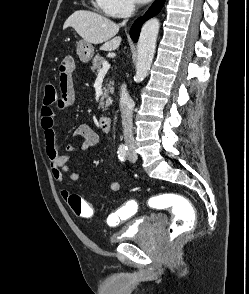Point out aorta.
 Instances as JSON below:
<instances>
[{"label": "aorta", "instance_id": "aorta-1", "mask_svg": "<svg viewBox=\"0 0 249 294\" xmlns=\"http://www.w3.org/2000/svg\"><path fill=\"white\" fill-rule=\"evenodd\" d=\"M159 28L160 23L155 18L146 21L142 26L137 43L136 74L134 77L137 82L143 81L148 75L154 58Z\"/></svg>", "mask_w": 249, "mask_h": 294}]
</instances>
